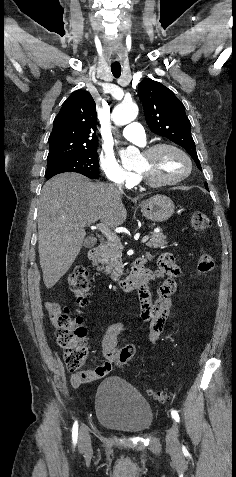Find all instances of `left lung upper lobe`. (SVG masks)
<instances>
[{
    "label": "left lung upper lobe",
    "mask_w": 236,
    "mask_h": 477,
    "mask_svg": "<svg viewBox=\"0 0 236 477\" xmlns=\"http://www.w3.org/2000/svg\"><path fill=\"white\" fill-rule=\"evenodd\" d=\"M138 94L149 128L182 146L202 171L184 105L170 89L151 79H144L139 84ZM205 187L208 190L207 183Z\"/></svg>",
    "instance_id": "1"
}]
</instances>
